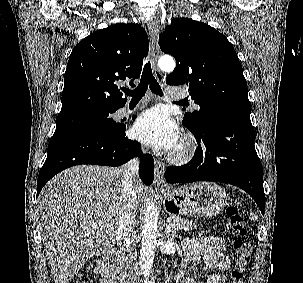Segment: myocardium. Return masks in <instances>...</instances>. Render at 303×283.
<instances>
[{"label": "myocardium", "instance_id": "f54148a6", "mask_svg": "<svg viewBox=\"0 0 303 283\" xmlns=\"http://www.w3.org/2000/svg\"><path fill=\"white\" fill-rule=\"evenodd\" d=\"M196 145L193 139L185 138L170 155V160L175 164H185L190 161L195 153Z\"/></svg>", "mask_w": 303, "mask_h": 283}]
</instances>
